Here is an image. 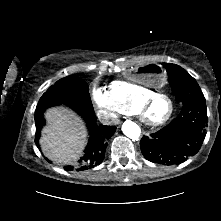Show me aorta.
Instances as JSON below:
<instances>
[{
    "label": "aorta",
    "instance_id": "obj_1",
    "mask_svg": "<svg viewBox=\"0 0 221 221\" xmlns=\"http://www.w3.org/2000/svg\"><path fill=\"white\" fill-rule=\"evenodd\" d=\"M122 131L125 136L134 141L138 140L141 135L140 127L132 121H125L122 125Z\"/></svg>",
    "mask_w": 221,
    "mask_h": 221
}]
</instances>
